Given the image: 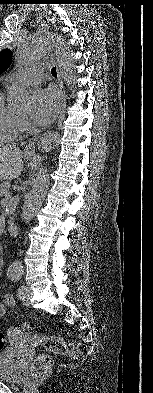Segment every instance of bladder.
I'll return each instance as SVG.
<instances>
[{"instance_id":"1","label":"bladder","mask_w":153,"mask_h":393,"mask_svg":"<svg viewBox=\"0 0 153 393\" xmlns=\"http://www.w3.org/2000/svg\"><path fill=\"white\" fill-rule=\"evenodd\" d=\"M22 367L16 361V352L13 348L0 351V380L19 383L22 377Z\"/></svg>"}]
</instances>
